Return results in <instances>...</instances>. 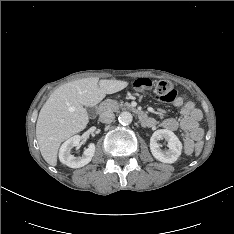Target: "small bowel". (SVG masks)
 I'll return each instance as SVG.
<instances>
[{
  "label": "small bowel",
  "mask_w": 234,
  "mask_h": 234,
  "mask_svg": "<svg viewBox=\"0 0 234 234\" xmlns=\"http://www.w3.org/2000/svg\"><path fill=\"white\" fill-rule=\"evenodd\" d=\"M169 102L180 108L181 118H166L161 122V127L167 131L181 129L186 132L188 137L185 141V147L186 150L189 151L192 140H199L203 135V131L199 125V122L202 118V112L195 106L193 102H184L183 98L179 96H176ZM155 125L156 121L153 118H150V122L145 126L155 127Z\"/></svg>",
  "instance_id": "c3829d8e"
}]
</instances>
